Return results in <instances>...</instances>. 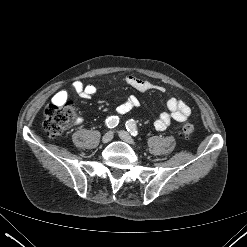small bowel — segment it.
Here are the masks:
<instances>
[{"instance_id": "small-bowel-1", "label": "small bowel", "mask_w": 247, "mask_h": 247, "mask_svg": "<svg viewBox=\"0 0 247 247\" xmlns=\"http://www.w3.org/2000/svg\"><path fill=\"white\" fill-rule=\"evenodd\" d=\"M125 82L130 87L141 91H158L165 92V88L162 85L153 83L149 80L141 79L134 75H128L125 78ZM73 90L78 94L79 97L89 99L97 93V88L93 84H84L81 81H75L72 84ZM68 98V92L61 90L57 92L52 101L55 103H64ZM140 102L136 96L128 97L124 102L119 104L116 108L118 115H125L134 108L139 107ZM168 111L162 112L154 122V126L157 130H165L172 121L184 122L188 119L191 114L190 107L182 100L178 98H170L167 101Z\"/></svg>"}]
</instances>
